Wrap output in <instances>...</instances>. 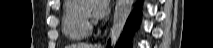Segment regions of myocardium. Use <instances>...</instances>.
<instances>
[{
	"mask_svg": "<svg viewBox=\"0 0 213 48\" xmlns=\"http://www.w3.org/2000/svg\"><path fill=\"white\" fill-rule=\"evenodd\" d=\"M80 4V3H79ZM80 13L84 22L91 28L96 24V21L92 18V15L85 12L84 5L80 4Z\"/></svg>",
	"mask_w": 213,
	"mask_h": 48,
	"instance_id": "1",
	"label": "myocardium"
}]
</instances>
